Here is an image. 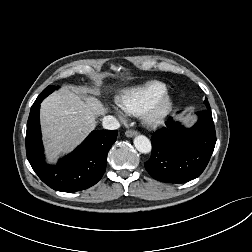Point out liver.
<instances>
[{"mask_svg": "<svg viewBox=\"0 0 252 252\" xmlns=\"http://www.w3.org/2000/svg\"><path fill=\"white\" fill-rule=\"evenodd\" d=\"M107 109L95 97L67 89L54 92L41 104L40 118L47 157L54 162L72 151L95 129Z\"/></svg>", "mask_w": 252, "mask_h": 252, "instance_id": "1", "label": "liver"}]
</instances>
